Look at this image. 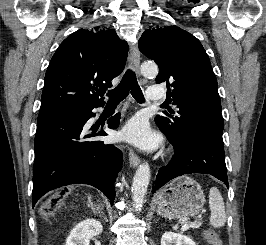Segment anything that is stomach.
Instances as JSON below:
<instances>
[{"mask_svg":"<svg viewBox=\"0 0 266 245\" xmlns=\"http://www.w3.org/2000/svg\"><path fill=\"white\" fill-rule=\"evenodd\" d=\"M205 195L190 177H178L158 195L157 213L166 219H186L203 209Z\"/></svg>","mask_w":266,"mask_h":245,"instance_id":"obj_1","label":"stomach"}]
</instances>
